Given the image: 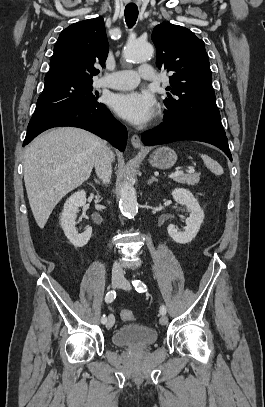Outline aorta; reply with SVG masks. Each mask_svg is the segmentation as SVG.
<instances>
[{
  "mask_svg": "<svg viewBox=\"0 0 265 407\" xmlns=\"http://www.w3.org/2000/svg\"><path fill=\"white\" fill-rule=\"evenodd\" d=\"M124 58L130 62H145L152 58L154 48L149 43H142L130 39L124 49ZM120 209L129 216H133L138 211L136 191L129 181H125L120 189Z\"/></svg>",
  "mask_w": 265,
  "mask_h": 407,
  "instance_id": "aorta-1",
  "label": "aorta"
}]
</instances>
